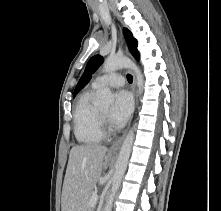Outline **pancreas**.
<instances>
[{"label": "pancreas", "instance_id": "1", "mask_svg": "<svg viewBox=\"0 0 221 211\" xmlns=\"http://www.w3.org/2000/svg\"><path fill=\"white\" fill-rule=\"evenodd\" d=\"M95 193V191H91L88 196L86 197V200L84 202V211H92V207L90 204V199L92 197V195Z\"/></svg>", "mask_w": 221, "mask_h": 211}]
</instances>
